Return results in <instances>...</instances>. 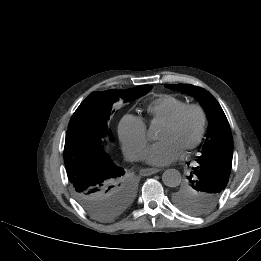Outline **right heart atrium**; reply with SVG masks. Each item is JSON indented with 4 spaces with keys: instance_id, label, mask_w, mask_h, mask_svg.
I'll return each mask as SVG.
<instances>
[{
    "instance_id": "d8ad5b80",
    "label": "right heart atrium",
    "mask_w": 261,
    "mask_h": 261,
    "mask_svg": "<svg viewBox=\"0 0 261 261\" xmlns=\"http://www.w3.org/2000/svg\"><path fill=\"white\" fill-rule=\"evenodd\" d=\"M118 136L126 155L139 159L147 144L148 134L145 121L131 114L124 115L118 125Z\"/></svg>"
}]
</instances>
